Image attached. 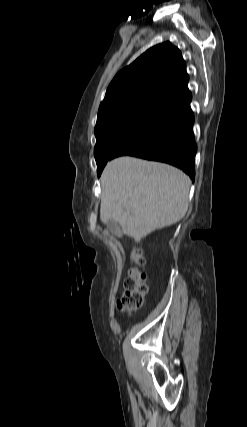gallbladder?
I'll return each mask as SVG.
<instances>
[{"label": "gallbladder", "mask_w": 247, "mask_h": 427, "mask_svg": "<svg viewBox=\"0 0 247 427\" xmlns=\"http://www.w3.org/2000/svg\"><path fill=\"white\" fill-rule=\"evenodd\" d=\"M107 228L110 230L112 234H114L117 237H120L122 235V229L118 222H116L113 219H109L106 223Z\"/></svg>", "instance_id": "obj_1"}]
</instances>
